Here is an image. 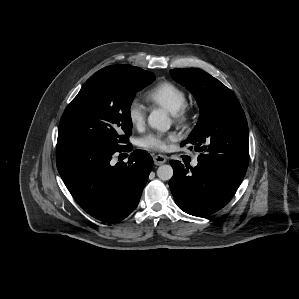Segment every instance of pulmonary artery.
Here are the masks:
<instances>
[{"label":"pulmonary artery","instance_id":"1","mask_svg":"<svg viewBox=\"0 0 299 299\" xmlns=\"http://www.w3.org/2000/svg\"><path fill=\"white\" fill-rule=\"evenodd\" d=\"M192 165L195 167L198 165V161L197 160H193Z\"/></svg>","mask_w":299,"mask_h":299}]
</instances>
